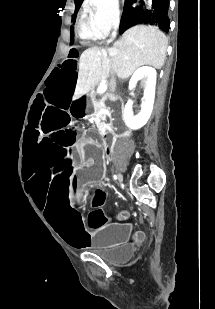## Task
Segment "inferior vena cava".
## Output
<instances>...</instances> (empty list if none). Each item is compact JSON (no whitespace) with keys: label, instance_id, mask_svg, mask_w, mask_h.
Listing matches in <instances>:
<instances>
[{"label":"inferior vena cava","instance_id":"602c4592","mask_svg":"<svg viewBox=\"0 0 215 309\" xmlns=\"http://www.w3.org/2000/svg\"><path fill=\"white\" fill-rule=\"evenodd\" d=\"M118 26H119L118 22H115L114 30L111 34V38H109V40H107V42H112V40H114V38H116ZM109 54H110V56H112V52H109ZM115 86H116V78H115L114 70H111L110 78H109V92H108V96H109V98H111V100H112V98H114Z\"/></svg>","mask_w":215,"mask_h":309}]
</instances>
